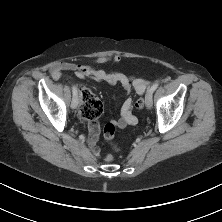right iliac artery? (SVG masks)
Here are the masks:
<instances>
[{"instance_id": "1", "label": "right iliac artery", "mask_w": 222, "mask_h": 222, "mask_svg": "<svg viewBox=\"0 0 222 222\" xmlns=\"http://www.w3.org/2000/svg\"><path fill=\"white\" fill-rule=\"evenodd\" d=\"M73 96H77V89L75 86L72 87Z\"/></svg>"}]
</instances>
